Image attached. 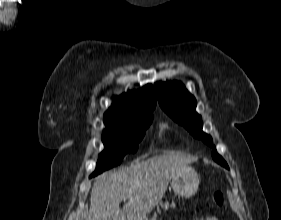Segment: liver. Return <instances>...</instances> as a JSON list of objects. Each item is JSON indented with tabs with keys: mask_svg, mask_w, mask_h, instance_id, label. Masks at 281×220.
Instances as JSON below:
<instances>
[{
	"mask_svg": "<svg viewBox=\"0 0 281 220\" xmlns=\"http://www.w3.org/2000/svg\"><path fill=\"white\" fill-rule=\"evenodd\" d=\"M193 159L170 152L96 178L87 220H144L162 199L173 175ZM129 201L120 208L122 199Z\"/></svg>",
	"mask_w": 281,
	"mask_h": 220,
	"instance_id": "6515ba94",
	"label": "liver"
}]
</instances>
